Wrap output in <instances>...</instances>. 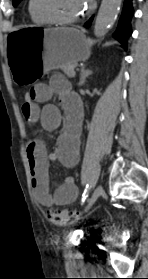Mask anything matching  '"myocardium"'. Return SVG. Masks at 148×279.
I'll return each instance as SVG.
<instances>
[{
	"mask_svg": "<svg viewBox=\"0 0 148 279\" xmlns=\"http://www.w3.org/2000/svg\"><path fill=\"white\" fill-rule=\"evenodd\" d=\"M31 1H32L31 6H32L33 13L37 17L45 20L48 23L58 24V25H70L79 22L83 18L82 15L72 17V18H59L52 14L41 11L38 6V0H31Z\"/></svg>",
	"mask_w": 148,
	"mask_h": 279,
	"instance_id": "myocardium-1",
	"label": "myocardium"
}]
</instances>
